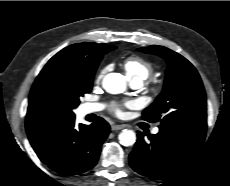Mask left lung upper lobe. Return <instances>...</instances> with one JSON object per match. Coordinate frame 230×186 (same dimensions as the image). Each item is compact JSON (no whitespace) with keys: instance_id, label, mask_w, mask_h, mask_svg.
<instances>
[{"instance_id":"5c2ea615","label":"left lung upper lobe","mask_w":230,"mask_h":186,"mask_svg":"<svg viewBox=\"0 0 230 186\" xmlns=\"http://www.w3.org/2000/svg\"><path fill=\"white\" fill-rule=\"evenodd\" d=\"M164 58L168 68L162 93L143 111V119L160 126L207 124L206 95L194 66L180 54L163 46L138 49Z\"/></svg>"}]
</instances>
